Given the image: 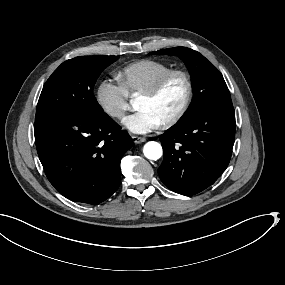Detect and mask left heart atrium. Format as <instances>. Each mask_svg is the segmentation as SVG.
I'll return each instance as SVG.
<instances>
[{
	"mask_svg": "<svg viewBox=\"0 0 285 285\" xmlns=\"http://www.w3.org/2000/svg\"><path fill=\"white\" fill-rule=\"evenodd\" d=\"M160 121L144 104L138 103L132 115L126 117L122 124L132 132L144 134L155 129Z\"/></svg>",
	"mask_w": 285,
	"mask_h": 285,
	"instance_id": "obj_1",
	"label": "left heart atrium"
}]
</instances>
